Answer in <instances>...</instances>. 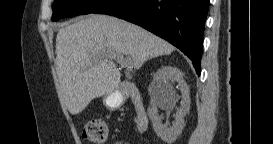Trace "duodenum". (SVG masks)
<instances>
[{
    "mask_svg": "<svg viewBox=\"0 0 273 144\" xmlns=\"http://www.w3.org/2000/svg\"><path fill=\"white\" fill-rule=\"evenodd\" d=\"M120 93L127 96L132 101L135 110V125L139 132H144L148 128L149 118L143 102L140 90L132 83H125L120 87Z\"/></svg>",
    "mask_w": 273,
    "mask_h": 144,
    "instance_id": "1",
    "label": "duodenum"
}]
</instances>
